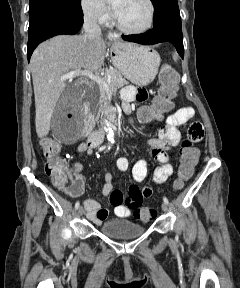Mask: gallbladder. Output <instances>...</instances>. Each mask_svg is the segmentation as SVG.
<instances>
[{
  "mask_svg": "<svg viewBox=\"0 0 240 288\" xmlns=\"http://www.w3.org/2000/svg\"><path fill=\"white\" fill-rule=\"evenodd\" d=\"M81 109V104L76 96V93L71 91V86H68L59 97L55 109L52 113L51 121L55 122L58 119H64L68 114H76Z\"/></svg>",
  "mask_w": 240,
  "mask_h": 288,
  "instance_id": "1",
  "label": "gallbladder"
}]
</instances>
